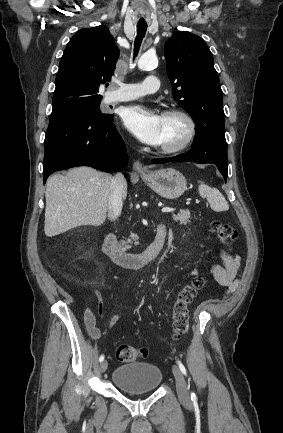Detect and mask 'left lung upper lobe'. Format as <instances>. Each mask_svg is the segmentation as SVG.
Segmentation results:
<instances>
[{
	"mask_svg": "<svg viewBox=\"0 0 283 433\" xmlns=\"http://www.w3.org/2000/svg\"><path fill=\"white\" fill-rule=\"evenodd\" d=\"M164 55L173 97L197 129L213 125L224 130L223 93L205 41L187 31L175 32L165 43Z\"/></svg>",
	"mask_w": 283,
	"mask_h": 433,
	"instance_id": "1",
	"label": "left lung upper lobe"
}]
</instances>
